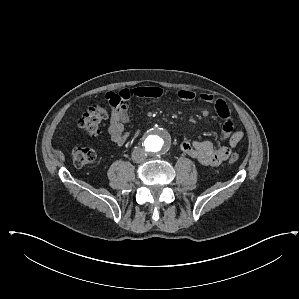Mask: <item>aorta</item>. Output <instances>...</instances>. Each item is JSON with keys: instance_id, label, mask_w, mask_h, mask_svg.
<instances>
[{"instance_id": "aorta-1", "label": "aorta", "mask_w": 299, "mask_h": 299, "mask_svg": "<svg viewBox=\"0 0 299 299\" xmlns=\"http://www.w3.org/2000/svg\"><path fill=\"white\" fill-rule=\"evenodd\" d=\"M168 145L167 137L160 131L151 132L144 140V147L151 155L162 153Z\"/></svg>"}]
</instances>
